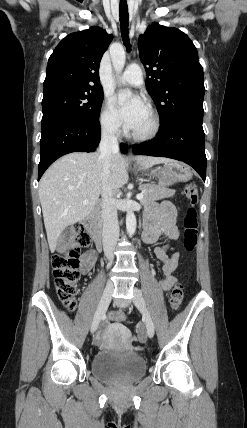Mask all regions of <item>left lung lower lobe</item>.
Here are the masks:
<instances>
[{
	"label": "left lung lower lobe",
	"instance_id": "0a47b994",
	"mask_svg": "<svg viewBox=\"0 0 247 428\" xmlns=\"http://www.w3.org/2000/svg\"><path fill=\"white\" fill-rule=\"evenodd\" d=\"M202 120L203 115L200 114H177L163 123L156 140L134 145L133 153L183 161L205 181L207 159Z\"/></svg>",
	"mask_w": 247,
	"mask_h": 428
}]
</instances>
